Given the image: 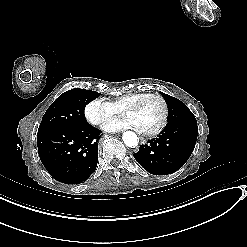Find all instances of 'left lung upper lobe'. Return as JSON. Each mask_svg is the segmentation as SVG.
I'll return each mask as SVG.
<instances>
[{
    "label": "left lung upper lobe",
    "instance_id": "5c2ea615",
    "mask_svg": "<svg viewBox=\"0 0 247 247\" xmlns=\"http://www.w3.org/2000/svg\"><path fill=\"white\" fill-rule=\"evenodd\" d=\"M161 95L166 99L169 108L167 127L182 123L197 124L193 113L183 102L163 92H161Z\"/></svg>",
    "mask_w": 247,
    "mask_h": 247
}]
</instances>
